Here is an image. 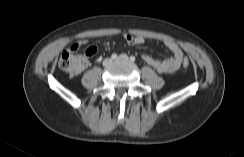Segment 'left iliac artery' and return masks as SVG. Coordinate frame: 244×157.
<instances>
[{
  "mask_svg": "<svg viewBox=\"0 0 244 157\" xmlns=\"http://www.w3.org/2000/svg\"><path fill=\"white\" fill-rule=\"evenodd\" d=\"M130 60H131L132 62H134L136 59H135L134 56H131V57H130Z\"/></svg>",
  "mask_w": 244,
  "mask_h": 157,
  "instance_id": "44dca946",
  "label": "left iliac artery"
}]
</instances>
